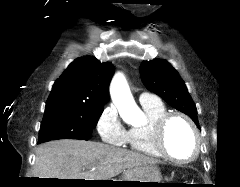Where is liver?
<instances>
[{
	"label": "liver",
	"instance_id": "6515ba94",
	"mask_svg": "<svg viewBox=\"0 0 240 187\" xmlns=\"http://www.w3.org/2000/svg\"><path fill=\"white\" fill-rule=\"evenodd\" d=\"M157 162L153 158L99 142L62 139L37 148L33 176L109 180L121 172Z\"/></svg>",
	"mask_w": 240,
	"mask_h": 187
}]
</instances>
